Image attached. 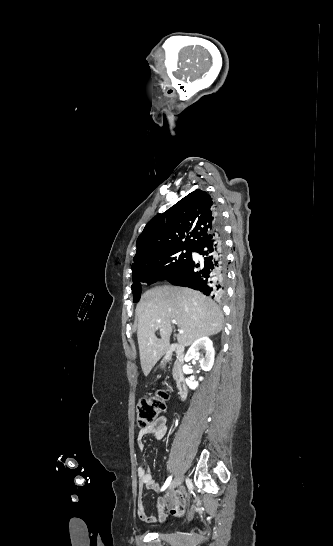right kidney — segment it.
Masks as SVG:
<instances>
[{
    "mask_svg": "<svg viewBox=\"0 0 333 546\" xmlns=\"http://www.w3.org/2000/svg\"><path fill=\"white\" fill-rule=\"evenodd\" d=\"M202 348L205 349L206 353L205 357L200 359V366L204 371H209L214 364L215 350L213 348V342L208 337H202L191 345L185 355V361L189 362L192 359H197L199 357V350ZM192 372L193 370L187 364L183 366L184 374H191ZM200 380H202V378H200ZM186 383L191 389H195L198 386V382L189 378L186 379Z\"/></svg>",
    "mask_w": 333,
    "mask_h": 546,
    "instance_id": "right-kidney-1",
    "label": "right kidney"
}]
</instances>
